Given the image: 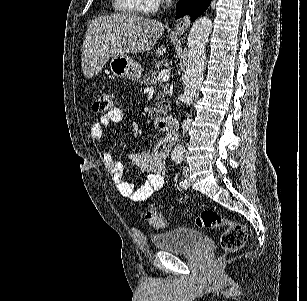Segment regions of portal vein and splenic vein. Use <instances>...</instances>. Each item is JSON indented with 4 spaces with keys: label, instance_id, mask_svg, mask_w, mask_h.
Here are the masks:
<instances>
[{
    "label": "portal vein and splenic vein",
    "instance_id": "18ae733b",
    "mask_svg": "<svg viewBox=\"0 0 307 301\" xmlns=\"http://www.w3.org/2000/svg\"><path fill=\"white\" fill-rule=\"evenodd\" d=\"M170 78V72L167 70V68H164V70H161V72H158L155 82H163V80H169Z\"/></svg>",
    "mask_w": 307,
    "mask_h": 301
}]
</instances>
